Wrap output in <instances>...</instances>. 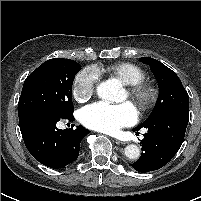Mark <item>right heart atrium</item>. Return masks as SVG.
<instances>
[{
    "label": "right heart atrium",
    "instance_id": "obj_1",
    "mask_svg": "<svg viewBox=\"0 0 201 201\" xmlns=\"http://www.w3.org/2000/svg\"><path fill=\"white\" fill-rule=\"evenodd\" d=\"M99 77V72L95 67L90 66L82 69L73 82L74 98L79 102L89 100L95 93Z\"/></svg>",
    "mask_w": 201,
    "mask_h": 201
}]
</instances>
